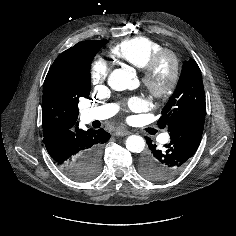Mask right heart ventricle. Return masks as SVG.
Instances as JSON below:
<instances>
[{"mask_svg":"<svg viewBox=\"0 0 236 236\" xmlns=\"http://www.w3.org/2000/svg\"><path fill=\"white\" fill-rule=\"evenodd\" d=\"M161 49L163 45L160 42L146 36H136L115 44L109 53L112 58L141 69Z\"/></svg>","mask_w":236,"mask_h":236,"instance_id":"e07e8e85","label":"right heart ventricle"}]
</instances>
